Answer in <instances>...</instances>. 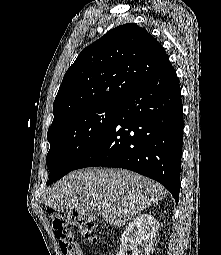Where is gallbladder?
<instances>
[{
	"label": "gallbladder",
	"mask_w": 221,
	"mask_h": 255,
	"mask_svg": "<svg viewBox=\"0 0 221 255\" xmlns=\"http://www.w3.org/2000/svg\"><path fill=\"white\" fill-rule=\"evenodd\" d=\"M91 212L94 216L100 215V211L97 209H92Z\"/></svg>",
	"instance_id": "gallbladder-1"
}]
</instances>
